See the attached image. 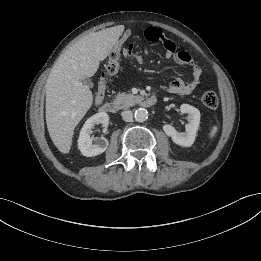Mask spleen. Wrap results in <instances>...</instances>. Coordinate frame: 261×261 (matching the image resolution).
Here are the masks:
<instances>
[{
    "instance_id": "3e777b00",
    "label": "spleen",
    "mask_w": 261,
    "mask_h": 261,
    "mask_svg": "<svg viewBox=\"0 0 261 261\" xmlns=\"http://www.w3.org/2000/svg\"><path fill=\"white\" fill-rule=\"evenodd\" d=\"M218 131V126L217 125H213L210 129V132H209V138L212 139L214 138V136L216 135Z\"/></svg>"
}]
</instances>
